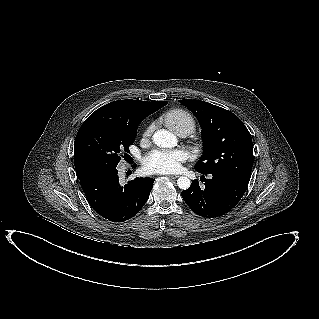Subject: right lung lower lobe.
Instances as JSON below:
<instances>
[{
  "label": "right lung lower lobe",
  "mask_w": 319,
  "mask_h": 319,
  "mask_svg": "<svg viewBox=\"0 0 319 319\" xmlns=\"http://www.w3.org/2000/svg\"><path fill=\"white\" fill-rule=\"evenodd\" d=\"M152 178H135L122 187L116 168L91 172L80 184L91 207L105 220L119 223L134 217L153 187Z\"/></svg>",
  "instance_id": "obj_1"
}]
</instances>
